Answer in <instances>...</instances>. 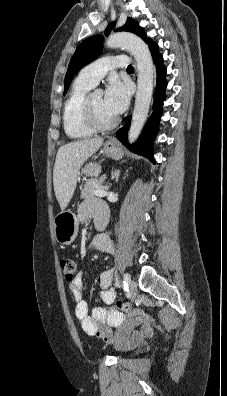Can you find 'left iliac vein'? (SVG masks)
<instances>
[{
    "instance_id": "obj_1",
    "label": "left iliac vein",
    "mask_w": 227,
    "mask_h": 396,
    "mask_svg": "<svg viewBox=\"0 0 227 396\" xmlns=\"http://www.w3.org/2000/svg\"><path fill=\"white\" fill-rule=\"evenodd\" d=\"M129 292L132 300H134L137 296V285L134 280H130L129 282Z\"/></svg>"
}]
</instances>
